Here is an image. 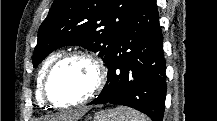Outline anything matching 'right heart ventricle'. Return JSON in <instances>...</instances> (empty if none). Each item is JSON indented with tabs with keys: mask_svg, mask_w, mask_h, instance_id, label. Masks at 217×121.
Here are the masks:
<instances>
[{
	"mask_svg": "<svg viewBox=\"0 0 217 121\" xmlns=\"http://www.w3.org/2000/svg\"><path fill=\"white\" fill-rule=\"evenodd\" d=\"M61 52H54L52 54H50L43 62L39 73H38V77H37V91H36V99L38 101V103L41 106H47V102L43 96V92H42V86H43V81L45 78V75L48 71V69L50 68V66L53 64V62L60 57Z\"/></svg>",
	"mask_w": 217,
	"mask_h": 121,
	"instance_id": "right-heart-ventricle-1",
	"label": "right heart ventricle"
}]
</instances>
